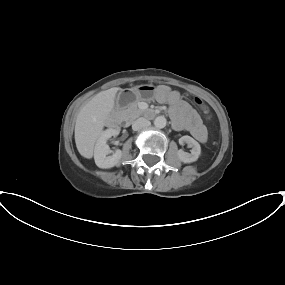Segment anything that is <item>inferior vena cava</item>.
<instances>
[{"instance_id":"obj_1","label":"inferior vena cava","mask_w":285,"mask_h":285,"mask_svg":"<svg viewBox=\"0 0 285 285\" xmlns=\"http://www.w3.org/2000/svg\"><path fill=\"white\" fill-rule=\"evenodd\" d=\"M150 126V121H148L147 119L145 118H139L137 120H135L132 124V129L134 131H137L141 128H145V127H148Z\"/></svg>"}]
</instances>
